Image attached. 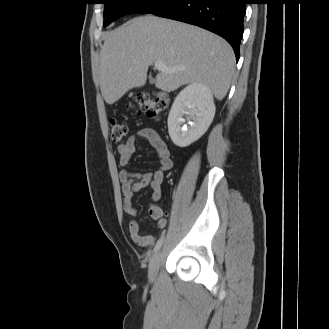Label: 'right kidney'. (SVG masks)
<instances>
[{"label":"right kidney","instance_id":"1","mask_svg":"<svg viewBox=\"0 0 329 329\" xmlns=\"http://www.w3.org/2000/svg\"><path fill=\"white\" fill-rule=\"evenodd\" d=\"M215 115L210 89L200 83L185 87L175 98L168 116V132L173 143L187 147L197 141L209 128ZM191 119L189 126L183 125Z\"/></svg>","mask_w":329,"mask_h":329}]
</instances>
